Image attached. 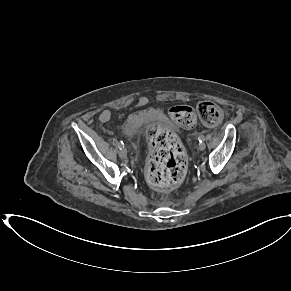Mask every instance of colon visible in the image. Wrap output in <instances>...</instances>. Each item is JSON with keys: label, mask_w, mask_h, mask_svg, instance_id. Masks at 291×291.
Masks as SVG:
<instances>
[{"label": "colon", "mask_w": 291, "mask_h": 291, "mask_svg": "<svg viewBox=\"0 0 291 291\" xmlns=\"http://www.w3.org/2000/svg\"><path fill=\"white\" fill-rule=\"evenodd\" d=\"M171 119L183 128H192L197 118L208 126L222 119L221 108L212 102H199L194 107L176 105L169 109ZM151 153L146 168L148 183L159 190H170L181 184L187 174L188 159L184 148L172 132L165 127L150 131Z\"/></svg>", "instance_id": "obj_1"}]
</instances>
